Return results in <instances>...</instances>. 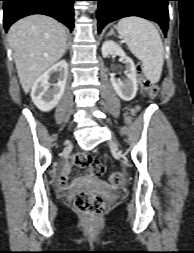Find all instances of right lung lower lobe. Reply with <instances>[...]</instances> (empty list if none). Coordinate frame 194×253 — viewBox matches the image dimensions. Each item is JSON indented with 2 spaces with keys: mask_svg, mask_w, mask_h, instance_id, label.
<instances>
[{
  "mask_svg": "<svg viewBox=\"0 0 194 253\" xmlns=\"http://www.w3.org/2000/svg\"><path fill=\"white\" fill-rule=\"evenodd\" d=\"M4 2V27H9L18 19L31 14L51 16L65 24L70 30L74 27L73 3L76 0H0Z\"/></svg>",
  "mask_w": 194,
  "mask_h": 253,
  "instance_id": "1",
  "label": "right lung lower lobe"
}]
</instances>
